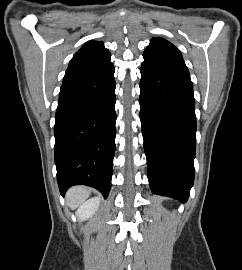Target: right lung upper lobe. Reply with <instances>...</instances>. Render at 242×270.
<instances>
[{
    "instance_id": "cb5924a9",
    "label": "right lung upper lobe",
    "mask_w": 242,
    "mask_h": 270,
    "mask_svg": "<svg viewBox=\"0 0 242 270\" xmlns=\"http://www.w3.org/2000/svg\"><path fill=\"white\" fill-rule=\"evenodd\" d=\"M110 52L104 47L103 42H87L71 59L63 84L78 79L110 60Z\"/></svg>"
}]
</instances>
